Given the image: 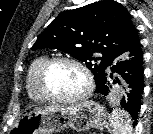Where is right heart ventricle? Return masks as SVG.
<instances>
[{
  "label": "right heart ventricle",
  "mask_w": 153,
  "mask_h": 134,
  "mask_svg": "<svg viewBox=\"0 0 153 134\" xmlns=\"http://www.w3.org/2000/svg\"><path fill=\"white\" fill-rule=\"evenodd\" d=\"M47 60L45 56L35 58L27 71L26 90L27 94L35 102L44 103L47 99L41 94L37 85V76L42 64Z\"/></svg>",
  "instance_id": "1"
}]
</instances>
